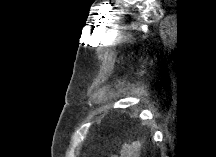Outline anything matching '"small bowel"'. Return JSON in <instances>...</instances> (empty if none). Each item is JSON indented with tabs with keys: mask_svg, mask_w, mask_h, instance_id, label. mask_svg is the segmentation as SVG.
<instances>
[{
	"mask_svg": "<svg viewBox=\"0 0 216 157\" xmlns=\"http://www.w3.org/2000/svg\"><path fill=\"white\" fill-rule=\"evenodd\" d=\"M141 149V144L138 141L123 144L120 148V157H138Z\"/></svg>",
	"mask_w": 216,
	"mask_h": 157,
	"instance_id": "obj_1",
	"label": "small bowel"
}]
</instances>
